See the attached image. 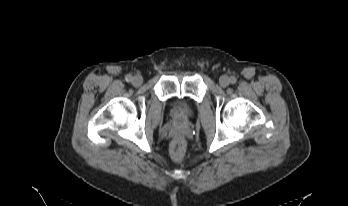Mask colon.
<instances>
[{
	"label": "colon",
	"mask_w": 348,
	"mask_h": 206,
	"mask_svg": "<svg viewBox=\"0 0 348 206\" xmlns=\"http://www.w3.org/2000/svg\"><path fill=\"white\" fill-rule=\"evenodd\" d=\"M184 153V144L181 139H177L173 142L171 147V154L175 160H180Z\"/></svg>",
	"instance_id": "5ec220e1"
}]
</instances>
